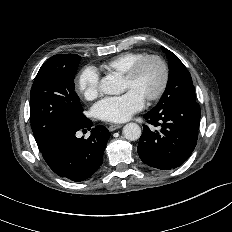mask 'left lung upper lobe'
Instances as JSON below:
<instances>
[{
	"mask_svg": "<svg viewBox=\"0 0 232 232\" xmlns=\"http://www.w3.org/2000/svg\"><path fill=\"white\" fill-rule=\"evenodd\" d=\"M169 61V78L165 92L153 109H160L180 99L196 101L191 75L180 59L168 49L162 47Z\"/></svg>",
	"mask_w": 232,
	"mask_h": 232,
	"instance_id": "1",
	"label": "left lung upper lobe"
}]
</instances>
